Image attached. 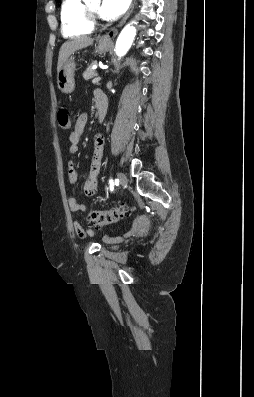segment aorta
<instances>
[{"instance_id":"obj_1","label":"aorta","mask_w":254,"mask_h":397,"mask_svg":"<svg viewBox=\"0 0 254 397\" xmlns=\"http://www.w3.org/2000/svg\"><path fill=\"white\" fill-rule=\"evenodd\" d=\"M133 23L135 22H131L123 28L116 41L115 52L119 57L124 56L133 43L136 35V28L133 26Z\"/></svg>"}]
</instances>
